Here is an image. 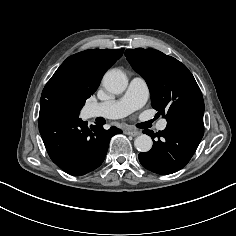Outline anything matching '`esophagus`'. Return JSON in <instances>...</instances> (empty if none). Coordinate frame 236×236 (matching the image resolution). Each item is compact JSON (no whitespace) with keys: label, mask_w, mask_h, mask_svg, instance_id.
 <instances>
[{"label":"esophagus","mask_w":236,"mask_h":236,"mask_svg":"<svg viewBox=\"0 0 236 236\" xmlns=\"http://www.w3.org/2000/svg\"><path fill=\"white\" fill-rule=\"evenodd\" d=\"M140 131H136V130H132V131H126V134L127 135H131V136H138V135H140Z\"/></svg>","instance_id":"esophagus-1"}]
</instances>
